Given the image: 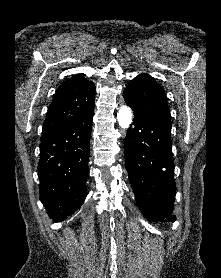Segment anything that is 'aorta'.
Returning a JSON list of instances; mask_svg holds the SVG:
<instances>
[{
  "mask_svg": "<svg viewBox=\"0 0 221 278\" xmlns=\"http://www.w3.org/2000/svg\"><path fill=\"white\" fill-rule=\"evenodd\" d=\"M117 119L121 128L127 129L132 123V110L127 106H122L118 111Z\"/></svg>",
  "mask_w": 221,
  "mask_h": 278,
  "instance_id": "obj_1",
  "label": "aorta"
}]
</instances>
